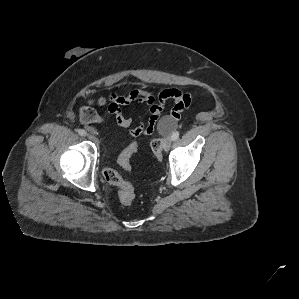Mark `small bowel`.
<instances>
[{"instance_id": "obj_1", "label": "small bowel", "mask_w": 299, "mask_h": 299, "mask_svg": "<svg viewBox=\"0 0 299 299\" xmlns=\"http://www.w3.org/2000/svg\"><path fill=\"white\" fill-rule=\"evenodd\" d=\"M168 101L174 103L169 118L176 122L181 118L182 113L190 108L192 98L189 93H183L175 88L165 89L158 94L136 88L127 90L124 94L111 93L107 97L88 98L87 105L81 108L79 114L82 123L90 131H94L92 126L105 123L107 117L100 115L92 106L106 107L108 116L114 117L120 127L128 129L132 137L138 138L153 133ZM140 103L147 105L149 118L146 123L133 125L132 118L124 115L122 107Z\"/></svg>"}]
</instances>
